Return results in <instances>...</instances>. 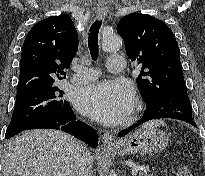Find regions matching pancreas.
<instances>
[{"label": "pancreas", "instance_id": "cf45deb5", "mask_svg": "<svg viewBox=\"0 0 205 176\" xmlns=\"http://www.w3.org/2000/svg\"><path fill=\"white\" fill-rule=\"evenodd\" d=\"M139 176H153V174H152L150 168L148 166H146V167H142V171L139 174Z\"/></svg>", "mask_w": 205, "mask_h": 176}]
</instances>
